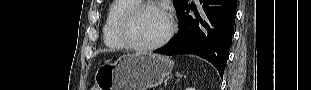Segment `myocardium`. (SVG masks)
Masks as SVG:
<instances>
[{"label": "myocardium", "mask_w": 311, "mask_h": 90, "mask_svg": "<svg viewBox=\"0 0 311 90\" xmlns=\"http://www.w3.org/2000/svg\"><path fill=\"white\" fill-rule=\"evenodd\" d=\"M145 9L160 10L165 14L168 20V30L165 35L160 40L150 45L137 44L130 34V28L133 22L135 21L137 16ZM175 30L176 22L173 14L165 6L155 2H140L139 4L135 5L123 15L119 24L120 38L122 39L127 48L136 52H149L162 47L170 40Z\"/></svg>", "instance_id": "1"}]
</instances>
